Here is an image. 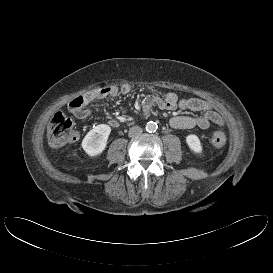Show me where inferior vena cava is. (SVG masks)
<instances>
[{
  "label": "inferior vena cava",
  "instance_id": "602c4592",
  "mask_svg": "<svg viewBox=\"0 0 273 273\" xmlns=\"http://www.w3.org/2000/svg\"><path fill=\"white\" fill-rule=\"evenodd\" d=\"M143 132L142 128L139 126H133L129 129L128 136L129 137H137L141 135Z\"/></svg>",
  "mask_w": 273,
  "mask_h": 273
}]
</instances>
